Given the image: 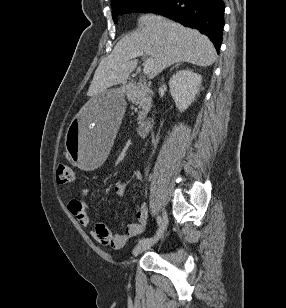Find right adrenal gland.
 I'll return each instance as SVG.
<instances>
[{
  "mask_svg": "<svg viewBox=\"0 0 286 308\" xmlns=\"http://www.w3.org/2000/svg\"><path fill=\"white\" fill-rule=\"evenodd\" d=\"M181 64H182V63H177L174 67H172V68L170 69V71L173 70L175 67L180 66Z\"/></svg>",
  "mask_w": 286,
  "mask_h": 308,
  "instance_id": "1",
  "label": "right adrenal gland"
}]
</instances>
